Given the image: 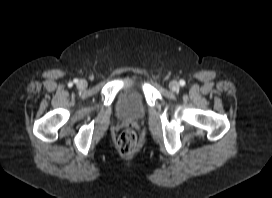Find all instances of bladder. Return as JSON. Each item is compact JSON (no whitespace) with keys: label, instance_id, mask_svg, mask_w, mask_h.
I'll use <instances>...</instances> for the list:
<instances>
[{"label":"bladder","instance_id":"1","mask_svg":"<svg viewBox=\"0 0 272 198\" xmlns=\"http://www.w3.org/2000/svg\"><path fill=\"white\" fill-rule=\"evenodd\" d=\"M148 111L142 91L132 87L125 89L118 97L116 112L120 119L139 121Z\"/></svg>","mask_w":272,"mask_h":198}]
</instances>
